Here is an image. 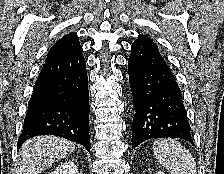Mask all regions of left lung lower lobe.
Returning a JSON list of instances; mask_svg holds the SVG:
<instances>
[{
    "mask_svg": "<svg viewBox=\"0 0 224 174\" xmlns=\"http://www.w3.org/2000/svg\"><path fill=\"white\" fill-rule=\"evenodd\" d=\"M129 80L135 115L132 148L152 138H181L191 142L181 90L157 45L131 46Z\"/></svg>",
    "mask_w": 224,
    "mask_h": 174,
    "instance_id": "left-lung-lower-lobe-1",
    "label": "left lung lower lobe"
}]
</instances>
